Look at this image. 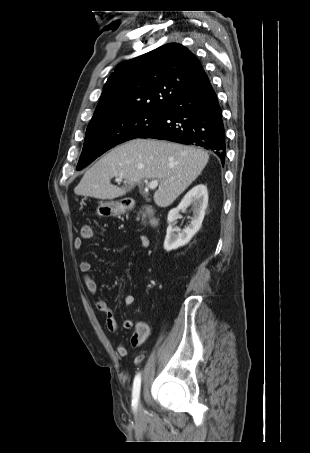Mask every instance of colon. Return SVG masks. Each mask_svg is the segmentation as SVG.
Wrapping results in <instances>:
<instances>
[{
    "label": "colon",
    "mask_w": 310,
    "mask_h": 453,
    "mask_svg": "<svg viewBox=\"0 0 310 453\" xmlns=\"http://www.w3.org/2000/svg\"><path fill=\"white\" fill-rule=\"evenodd\" d=\"M92 233L91 226L88 224H85L81 228V234L83 237H89Z\"/></svg>",
    "instance_id": "5ec220e1"
}]
</instances>
